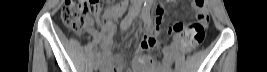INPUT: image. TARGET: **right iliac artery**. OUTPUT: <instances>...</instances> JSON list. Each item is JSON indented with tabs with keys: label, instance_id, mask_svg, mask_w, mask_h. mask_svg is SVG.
<instances>
[{
	"label": "right iliac artery",
	"instance_id": "obj_1",
	"mask_svg": "<svg viewBox=\"0 0 267 72\" xmlns=\"http://www.w3.org/2000/svg\"><path fill=\"white\" fill-rule=\"evenodd\" d=\"M139 7H140V4L136 5L135 8L123 19V21L121 22V29L122 30H125L130 26L135 15L138 12ZM99 56H100V52L96 51L94 59L97 60L99 58Z\"/></svg>",
	"mask_w": 267,
	"mask_h": 72
}]
</instances>
